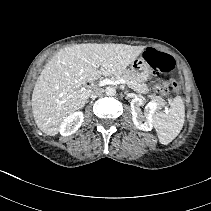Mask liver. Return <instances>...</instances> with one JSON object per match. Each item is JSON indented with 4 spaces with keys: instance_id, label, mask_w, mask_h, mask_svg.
<instances>
[{
    "instance_id": "liver-1",
    "label": "liver",
    "mask_w": 211,
    "mask_h": 211,
    "mask_svg": "<svg viewBox=\"0 0 211 211\" xmlns=\"http://www.w3.org/2000/svg\"><path fill=\"white\" fill-rule=\"evenodd\" d=\"M143 46L86 43L58 51L41 71L32 93V112L38 128L49 136L61 123L82 109L90 97L86 83L122 72L143 51Z\"/></svg>"
}]
</instances>
